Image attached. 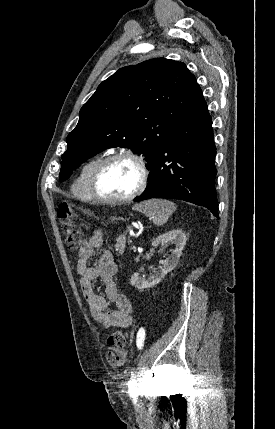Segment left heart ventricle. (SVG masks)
<instances>
[{
    "mask_svg": "<svg viewBox=\"0 0 275 429\" xmlns=\"http://www.w3.org/2000/svg\"><path fill=\"white\" fill-rule=\"evenodd\" d=\"M139 170L129 160L112 162L101 174L98 187L103 196L120 198L129 195L137 187Z\"/></svg>",
    "mask_w": 275,
    "mask_h": 429,
    "instance_id": "b2bd125f",
    "label": "left heart ventricle"
}]
</instances>
